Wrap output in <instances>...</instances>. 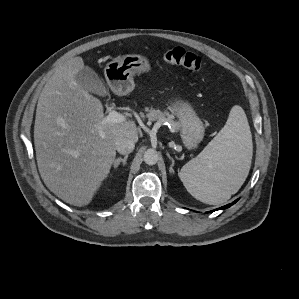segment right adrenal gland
<instances>
[{"instance_id": "2a0ac1e0", "label": "right adrenal gland", "mask_w": 299, "mask_h": 299, "mask_svg": "<svg viewBox=\"0 0 299 299\" xmlns=\"http://www.w3.org/2000/svg\"><path fill=\"white\" fill-rule=\"evenodd\" d=\"M128 155L124 156V158L118 157L114 160V169H117L120 163H122L124 166L126 165Z\"/></svg>"}]
</instances>
